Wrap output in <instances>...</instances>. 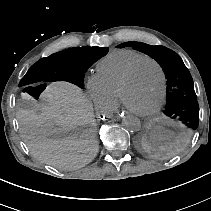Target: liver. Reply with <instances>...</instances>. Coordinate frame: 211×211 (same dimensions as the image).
<instances>
[{"label":"liver","mask_w":211,"mask_h":211,"mask_svg":"<svg viewBox=\"0 0 211 211\" xmlns=\"http://www.w3.org/2000/svg\"><path fill=\"white\" fill-rule=\"evenodd\" d=\"M44 94V104L16 113L29 150L39 160L60 169L89 163L98 151L91 103L79 87L68 82H53Z\"/></svg>","instance_id":"1"}]
</instances>
